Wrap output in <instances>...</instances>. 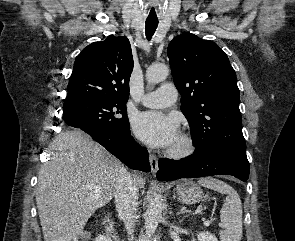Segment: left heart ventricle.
Masks as SVG:
<instances>
[{
  "instance_id": "left-heart-ventricle-1",
  "label": "left heart ventricle",
  "mask_w": 295,
  "mask_h": 241,
  "mask_svg": "<svg viewBox=\"0 0 295 241\" xmlns=\"http://www.w3.org/2000/svg\"><path fill=\"white\" fill-rule=\"evenodd\" d=\"M176 144H177V141L175 142V144H174V145H176ZM174 145H173V146H174Z\"/></svg>"
}]
</instances>
